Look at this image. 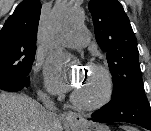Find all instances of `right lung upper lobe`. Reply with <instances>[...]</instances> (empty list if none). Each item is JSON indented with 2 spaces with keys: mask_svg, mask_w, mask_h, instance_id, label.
Segmentation results:
<instances>
[{
  "mask_svg": "<svg viewBox=\"0 0 151 131\" xmlns=\"http://www.w3.org/2000/svg\"><path fill=\"white\" fill-rule=\"evenodd\" d=\"M40 12L39 0L22 1L0 31V47L16 42L36 49Z\"/></svg>",
  "mask_w": 151,
  "mask_h": 131,
  "instance_id": "right-lung-upper-lobe-1",
  "label": "right lung upper lobe"
}]
</instances>
